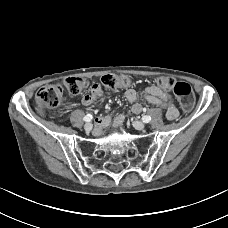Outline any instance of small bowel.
I'll use <instances>...</instances> for the list:
<instances>
[{
	"label": "small bowel",
	"mask_w": 228,
	"mask_h": 228,
	"mask_svg": "<svg viewBox=\"0 0 228 228\" xmlns=\"http://www.w3.org/2000/svg\"><path fill=\"white\" fill-rule=\"evenodd\" d=\"M102 96V89L98 85H94L91 89V92L85 95L82 99V103L85 106H91ZM125 98L133 103L131 110L135 114H139L142 111V106L137 103L138 99H143L146 102L160 106L165 109L166 117L169 120H174L178 117L179 111L173 101L172 96L165 90L158 86L151 85L140 91L135 89H127L125 91ZM124 121V115L118 114L115 118H112L110 115L102 116L98 119L99 127H106L111 122H114L116 126H121Z\"/></svg>",
	"instance_id": "1"
}]
</instances>
